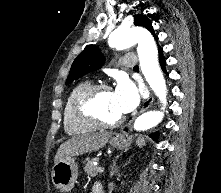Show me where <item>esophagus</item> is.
I'll list each match as a JSON object with an SVG mask.
<instances>
[{
	"instance_id": "34e87169",
	"label": "esophagus",
	"mask_w": 221,
	"mask_h": 193,
	"mask_svg": "<svg viewBox=\"0 0 221 193\" xmlns=\"http://www.w3.org/2000/svg\"><path fill=\"white\" fill-rule=\"evenodd\" d=\"M153 100H154V98L151 93L150 96L143 102V105H142L141 110L139 111V114L146 111L152 105ZM134 119H135V117L131 120V122L128 125H126L122 128V130H121L122 133H125L129 129V127L131 126V123L133 122Z\"/></svg>"
}]
</instances>
